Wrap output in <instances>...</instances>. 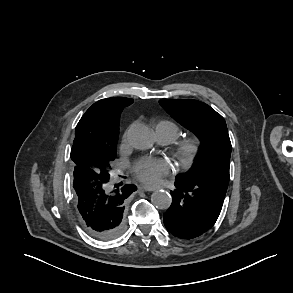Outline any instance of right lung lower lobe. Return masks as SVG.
<instances>
[{
	"label": "right lung lower lobe",
	"instance_id": "right-lung-lower-lobe-1",
	"mask_svg": "<svg viewBox=\"0 0 293 293\" xmlns=\"http://www.w3.org/2000/svg\"><path fill=\"white\" fill-rule=\"evenodd\" d=\"M73 188L78 215L85 230L100 240L118 237L125 228V201L136 190L133 185L113 188L110 176L75 167Z\"/></svg>",
	"mask_w": 293,
	"mask_h": 293
}]
</instances>
